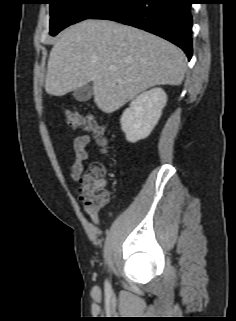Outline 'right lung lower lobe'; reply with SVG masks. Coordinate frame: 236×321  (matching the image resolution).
<instances>
[{"label": "right lung lower lobe", "mask_w": 236, "mask_h": 321, "mask_svg": "<svg viewBox=\"0 0 236 321\" xmlns=\"http://www.w3.org/2000/svg\"><path fill=\"white\" fill-rule=\"evenodd\" d=\"M191 0H110L91 19L113 20L158 35L192 57Z\"/></svg>", "instance_id": "1"}]
</instances>
